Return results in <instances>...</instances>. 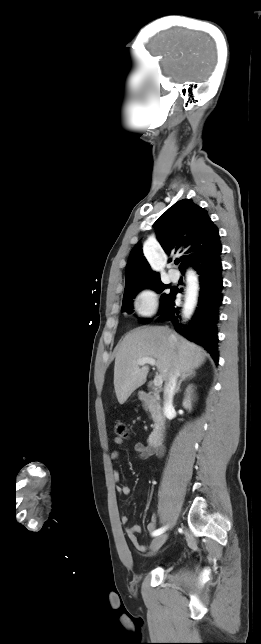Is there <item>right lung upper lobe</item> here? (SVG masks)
<instances>
[{"mask_svg":"<svg viewBox=\"0 0 261 644\" xmlns=\"http://www.w3.org/2000/svg\"><path fill=\"white\" fill-rule=\"evenodd\" d=\"M160 244L164 251L170 253L187 251L180 256V270L187 264L193 266L210 263L220 257L221 243L218 228L209 218L204 208L196 205L191 199H183L170 207L155 222ZM160 280L159 273L151 270L143 256L142 246L132 249L127 266L125 289L138 283Z\"/></svg>","mask_w":261,"mask_h":644,"instance_id":"1","label":"right lung upper lobe"}]
</instances>
